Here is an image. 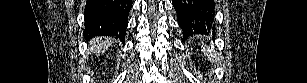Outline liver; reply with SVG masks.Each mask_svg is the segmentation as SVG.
<instances>
[{"instance_id":"obj_1","label":"liver","mask_w":307,"mask_h":83,"mask_svg":"<svg viewBox=\"0 0 307 83\" xmlns=\"http://www.w3.org/2000/svg\"><path fill=\"white\" fill-rule=\"evenodd\" d=\"M112 42V38L108 37L94 38L90 41L91 50L94 52V54L99 56L100 53H104L105 50L108 49Z\"/></svg>"}]
</instances>
